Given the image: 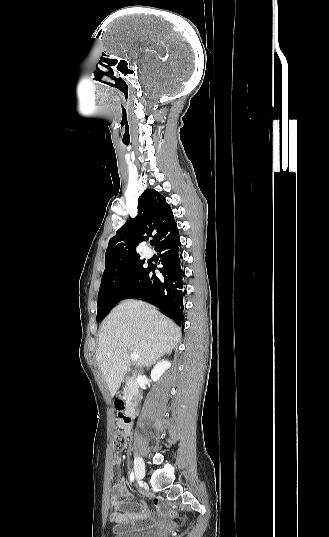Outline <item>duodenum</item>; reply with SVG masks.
Segmentation results:
<instances>
[{
	"label": "duodenum",
	"mask_w": 329,
	"mask_h": 537,
	"mask_svg": "<svg viewBox=\"0 0 329 537\" xmlns=\"http://www.w3.org/2000/svg\"><path fill=\"white\" fill-rule=\"evenodd\" d=\"M133 394L132 397L127 401L116 400V409L123 412L129 418H132L136 415L138 410V405L141 402L142 395L138 390V384L136 381L133 383Z\"/></svg>",
	"instance_id": "obj_1"
}]
</instances>
